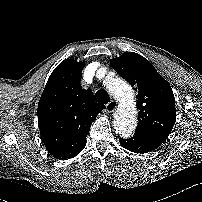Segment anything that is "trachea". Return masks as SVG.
<instances>
[{"mask_svg":"<svg viewBox=\"0 0 202 202\" xmlns=\"http://www.w3.org/2000/svg\"><path fill=\"white\" fill-rule=\"evenodd\" d=\"M95 99L99 103L106 104L109 102V95L104 90H98L95 93Z\"/></svg>","mask_w":202,"mask_h":202,"instance_id":"obj_1","label":"trachea"}]
</instances>
